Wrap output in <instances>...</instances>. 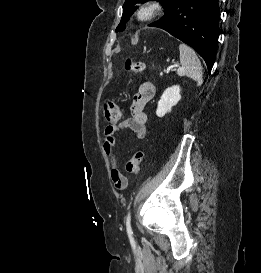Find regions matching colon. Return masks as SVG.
<instances>
[{
	"label": "colon",
	"instance_id": "5ec220e1",
	"mask_svg": "<svg viewBox=\"0 0 261 273\" xmlns=\"http://www.w3.org/2000/svg\"><path fill=\"white\" fill-rule=\"evenodd\" d=\"M125 69L128 72L139 74L143 70V65L132 59H127L125 62ZM105 119L110 123H116L122 116L121 107L114 100H107L103 105ZM143 159V152L137 151L126 163V172L130 175H137L141 169V162ZM117 188L122 190L125 188V182L118 179Z\"/></svg>",
	"mask_w": 261,
	"mask_h": 273
}]
</instances>
